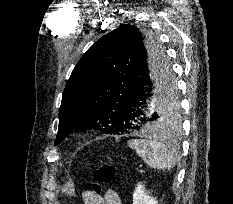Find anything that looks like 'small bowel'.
I'll return each instance as SVG.
<instances>
[{
	"instance_id": "1",
	"label": "small bowel",
	"mask_w": 233,
	"mask_h": 204,
	"mask_svg": "<svg viewBox=\"0 0 233 204\" xmlns=\"http://www.w3.org/2000/svg\"><path fill=\"white\" fill-rule=\"evenodd\" d=\"M80 198L84 204H122L119 194L113 188L108 189L104 195L84 191Z\"/></svg>"
}]
</instances>
